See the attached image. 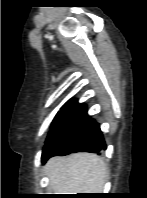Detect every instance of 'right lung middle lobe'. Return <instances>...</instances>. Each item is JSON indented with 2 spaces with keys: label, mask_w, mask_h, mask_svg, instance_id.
Here are the masks:
<instances>
[{
  "label": "right lung middle lobe",
  "mask_w": 147,
  "mask_h": 198,
  "mask_svg": "<svg viewBox=\"0 0 147 198\" xmlns=\"http://www.w3.org/2000/svg\"><path fill=\"white\" fill-rule=\"evenodd\" d=\"M74 108L72 107H63L62 111H59L53 121V125L51 127V130L48 134V138H50L54 132L62 125V123L67 119L69 114ZM47 138V139H48Z\"/></svg>",
  "instance_id": "1"
}]
</instances>
